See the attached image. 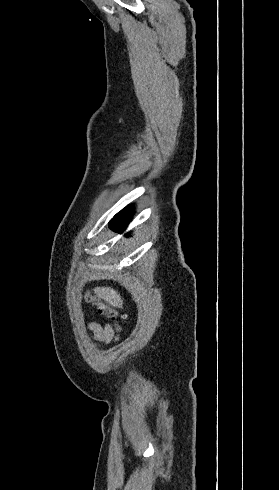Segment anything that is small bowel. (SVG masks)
<instances>
[{"instance_id": "c3829d8e", "label": "small bowel", "mask_w": 279, "mask_h": 490, "mask_svg": "<svg viewBox=\"0 0 279 490\" xmlns=\"http://www.w3.org/2000/svg\"><path fill=\"white\" fill-rule=\"evenodd\" d=\"M97 342L101 345L110 343L114 338V330L109 323L100 324L94 321L87 323Z\"/></svg>"}]
</instances>
